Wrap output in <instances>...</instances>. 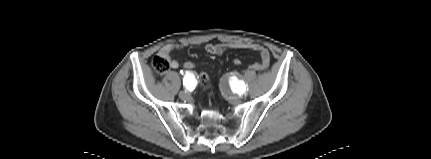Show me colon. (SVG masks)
<instances>
[{
  "label": "colon",
  "instance_id": "5ec220e1",
  "mask_svg": "<svg viewBox=\"0 0 431 159\" xmlns=\"http://www.w3.org/2000/svg\"><path fill=\"white\" fill-rule=\"evenodd\" d=\"M240 64H241L240 58H235L233 60L234 66H239ZM152 66L154 71L159 75H163L169 70V62L165 57H162V56H156L153 59ZM197 68H198V63L195 59H190L189 61H185V65L183 66V69L186 72L194 71ZM199 82H200V86L203 89H209L211 86L210 78L206 73H202L200 75Z\"/></svg>",
  "mask_w": 431,
  "mask_h": 159
}]
</instances>
